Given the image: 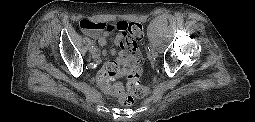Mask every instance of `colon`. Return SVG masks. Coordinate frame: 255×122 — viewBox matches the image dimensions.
Returning <instances> with one entry per match:
<instances>
[{
    "label": "colon",
    "mask_w": 255,
    "mask_h": 122,
    "mask_svg": "<svg viewBox=\"0 0 255 122\" xmlns=\"http://www.w3.org/2000/svg\"><path fill=\"white\" fill-rule=\"evenodd\" d=\"M78 25L84 33H111L118 30L129 34L136 41H140L143 37V27L136 22L127 23L121 21L118 23H108L83 19ZM121 78L126 79L128 91L126 93L123 92L120 84L114 85L110 91L118 96L119 102L123 106L130 107L133 105L136 98H142L148 94L150 86L148 84H142L141 69L139 66L122 68L116 62L108 63L100 72L98 80L103 88L108 89L111 82Z\"/></svg>",
    "instance_id": "colon-1"
}]
</instances>
